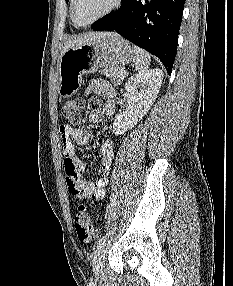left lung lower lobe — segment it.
I'll return each instance as SVG.
<instances>
[{
    "instance_id": "1",
    "label": "left lung lower lobe",
    "mask_w": 233,
    "mask_h": 286,
    "mask_svg": "<svg viewBox=\"0 0 233 286\" xmlns=\"http://www.w3.org/2000/svg\"><path fill=\"white\" fill-rule=\"evenodd\" d=\"M184 0H123L120 8L91 25L95 31L115 30L157 56L171 74Z\"/></svg>"
}]
</instances>
